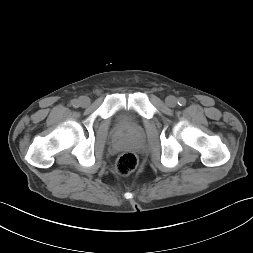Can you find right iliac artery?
<instances>
[{
    "instance_id": "right-iliac-artery-1",
    "label": "right iliac artery",
    "mask_w": 253,
    "mask_h": 253,
    "mask_svg": "<svg viewBox=\"0 0 253 253\" xmlns=\"http://www.w3.org/2000/svg\"><path fill=\"white\" fill-rule=\"evenodd\" d=\"M71 104L74 106V107H78L79 106V101L74 99L71 101Z\"/></svg>"
}]
</instances>
